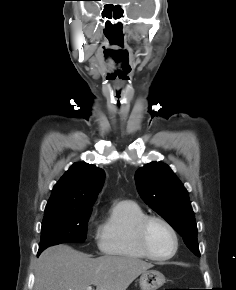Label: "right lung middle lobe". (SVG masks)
Returning <instances> with one entry per match:
<instances>
[{
  "mask_svg": "<svg viewBox=\"0 0 236 290\" xmlns=\"http://www.w3.org/2000/svg\"><path fill=\"white\" fill-rule=\"evenodd\" d=\"M90 214L91 210L46 212L42 222L38 254L51 245L84 242Z\"/></svg>",
  "mask_w": 236,
  "mask_h": 290,
  "instance_id": "1",
  "label": "right lung middle lobe"
}]
</instances>
